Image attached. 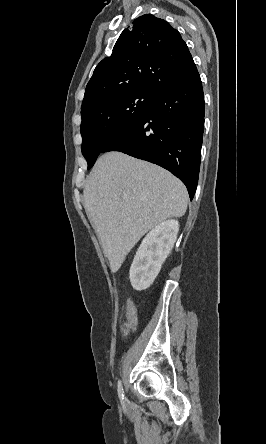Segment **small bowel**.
Segmentation results:
<instances>
[{
	"mask_svg": "<svg viewBox=\"0 0 266 444\" xmlns=\"http://www.w3.org/2000/svg\"><path fill=\"white\" fill-rule=\"evenodd\" d=\"M126 315H127V321L121 327V333L124 336L133 332L137 325L136 309L133 302L130 299H128L126 303Z\"/></svg>",
	"mask_w": 266,
	"mask_h": 444,
	"instance_id": "1",
	"label": "small bowel"
}]
</instances>
